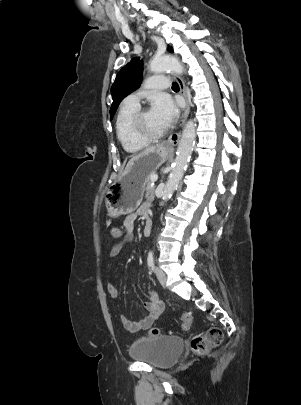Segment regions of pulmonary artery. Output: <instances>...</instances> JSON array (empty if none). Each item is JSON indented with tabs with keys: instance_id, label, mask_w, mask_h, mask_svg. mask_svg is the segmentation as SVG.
<instances>
[{
	"instance_id": "obj_1",
	"label": "pulmonary artery",
	"mask_w": 301,
	"mask_h": 405,
	"mask_svg": "<svg viewBox=\"0 0 301 405\" xmlns=\"http://www.w3.org/2000/svg\"><path fill=\"white\" fill-rule=\"evenodd\" d=\"M169 86V79L166 76L156 75L149 77L145 82V87L148 89H165ZM142 94V91H138L130 94L124 100L125 104L138 106L139 97Z\"/></svg>"
}]
</instances>
